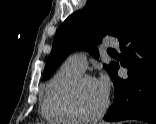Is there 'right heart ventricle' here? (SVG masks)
<instances>
[{
	"label": "right heart ventricle",
	"instance_id": "1",
	"mask_svg": "<svg viewBox=\"0 0 156 124\" xmlns=\"http://www.w3.org/2000/svg\"><path fill=\"white\" fill-rule=\"evenodd\" d=\"M81 74L82 72L64 63L47 83L41 111L49 123L74 124L77 122L66 109L63 98L69 85Z\"/></svg>",
	"mask_w": 156,
	"mask_h": 124
}]
</instances>
